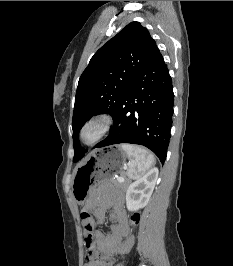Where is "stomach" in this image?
I'll list each match as a JSON object with an SVG mask.
<instances>
[{"instance_id":"0dacf381","label":"stomach","mask_w":233,"mask_h":266,"mask_svg":"<svg viewBox=\"0 0 233 266\" xmlns=\"http://www.w3.org/2000/svg\"><path fill=\"white\" fill-rule=\"evenodd\" d=\"M127 159V153L119 145L96 147V152H90L87 160L74 171L71 192L76 201L84 204L88 191L94 185H101V180H113V176L123 172Z\"/></svg>"}]
</instances>
